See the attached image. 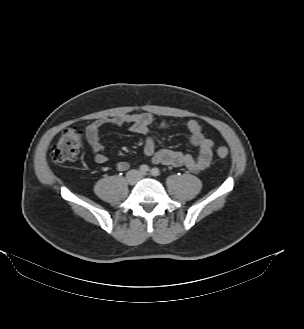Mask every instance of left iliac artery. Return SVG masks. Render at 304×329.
<instances>
[{
	"instance_id": "left-iliac-artery-1",
	"label": "left iliac artery",
	"mask_w": 304,
	"mask_h": 329,
	"mask_svg": "<svg viewBox=\"0 0 304 329\" xmlns=\"http://www.w3.org/2000/svg\"><path fill=\"white\" fill-rule=\"evenodd\" d=\"M160 174V171L158 168L154 167L151 169V175L152 176H158Z\"/></svg>"
}]
</instances>
